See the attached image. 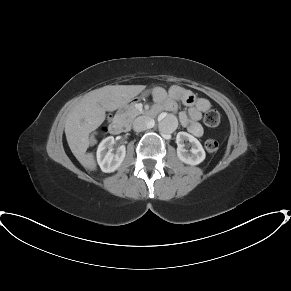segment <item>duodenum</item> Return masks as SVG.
I'll return each instance as SVG.
<instances>
[{
	"instance_id": "duodenum-1",
	"label": "duodenum",
	"mask_w": 291,
	"mask_h": 291,
	"mask_svg": "<svg viewBox=\"0 0 291 291\" xmlns=\"http://www.w3.org/2000/svg\"><path fill=\"white\" fill-rule=\"evenodd\" d=\"M147 114L150 116H153L156 114V110L151 109L148 111ZM108 129H109L110 133L113 135H118V134H121V133L126 131L125 125H124L123 121L120 119H116V120L112 121L109 124Z\"/></svg>"
}]
</instances>
